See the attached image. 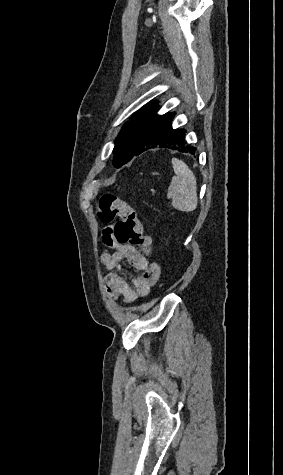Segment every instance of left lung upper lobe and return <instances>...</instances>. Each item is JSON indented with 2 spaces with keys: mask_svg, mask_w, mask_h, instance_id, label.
I'll use <instances>...</instances> for the list:
<instances>
[{
  "mask_svg": "<svg viewBox=\"0 0 283 475\" xmlns=\"http://www.w3.org/2000/svg\"><path fill=\"white\" fill-rule=\"evenodd\" d=\"M157 104L158 102H153L143 107L141 110L137 111L134 116L130 118V122H127L123 126L120 134L118 135V138L116 139V142L124 134H131L132 136L140 134L145 121L147 120L149 114Z\"/></svg>",
  "mask_w": 283,
  "mask_h": 475,
  "instance_id": "1",
  "label": "left lung upper lobe"
}]
</instances>
